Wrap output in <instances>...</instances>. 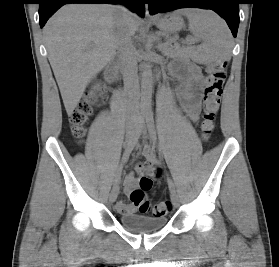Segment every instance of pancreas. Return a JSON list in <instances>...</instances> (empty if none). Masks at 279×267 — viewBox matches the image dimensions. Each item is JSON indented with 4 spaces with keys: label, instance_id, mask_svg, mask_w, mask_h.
<instances>
[{
    "label": "pancreas",
    "instance_id": "cf45deb5",
    "mask_svg": "<svg viewBox=\"0 0 279 267\" xmlns=\"http://www.w3.org/2000/svg\"><path fill=\"white\" fill-rule=\"evenodd\" d=\"M163 53L164 55H166L167 57L170 58H183V57H188V52L186 48H180L179 46H174V47H170L168 48L167 46H165V48L163 49Z\"/></svg>",
    "mask_w": 279,
    "mask_h": 267
}]
</instances>
